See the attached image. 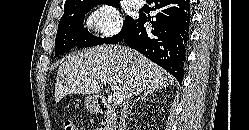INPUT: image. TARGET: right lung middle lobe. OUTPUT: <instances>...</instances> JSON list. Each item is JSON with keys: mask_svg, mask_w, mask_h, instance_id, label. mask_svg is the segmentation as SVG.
Returning a JSON list of instances; mask_svg holds the SVG:
<instances>
[{"mask_svg": "<svg viewBox=\"0 0 249 130\" xmlns=\"http://www.w3.org/2000/svg\"><path fill=\"white\" fill-rule=\"evenodd\" d=\"M98 4H107L113 7H119L118 2H104L92 4L80 9L64 8V14L59 22L57 36L55 40V56L60 55L72 47H91L100 44H109L119 42L135 23L136 20L126 16L122 30L115 36L109 38H100L92 35L83 27L85 14Z\"/></svg>", "mask_w": 249, "mask_h": 130, "instance_id": "right-lung-middle-lobe-1", "label": "right lung middle lobe"}]
</instances>
